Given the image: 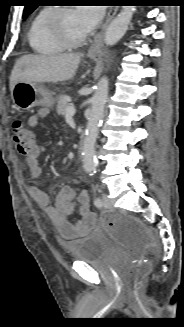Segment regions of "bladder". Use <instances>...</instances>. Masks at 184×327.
Returning a JSON list of instances; mask_svg holds the SVG:
<instances>
[{"label":"bladder","mask_w":184,"mask_h":327,"mask_svg":"<svg viewBox=\"0 0 184 327\" xmlns=\"http://www.w3.org/2000/svg\"><path fill=\"white\" fill-rule=\"evenodd\" d=\"M112 246L108 235L100 229H95L75 242L66 244L65 248L74 261L92 263L111 250Z\"/></svg>","instance_id":"bladder-1"}]
</instances>
